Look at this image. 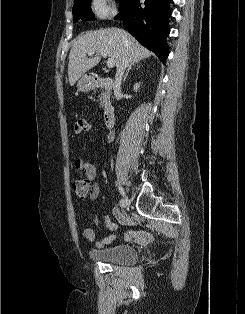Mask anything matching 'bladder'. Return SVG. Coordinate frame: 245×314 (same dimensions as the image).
Returning a JSON list of instances; mask_svg holds the SVG:
<instances>
[{
	"label": "bladder",
	"instance_id": "obj_1",
	"mask_svg": "<svg viewBox=\"0 0 245 314\" xmlns=\"http://www.w3.org/2000/svg\"><path fill=\"white\" fill-rule=\"evenodd\" d=\"M88 257L92 261L132 264L137 260V252L127 245L116 244L102 249H91Z\"/></svg>",
	"mask_w": 245,
	"mask_h": 314
}]
</instances>
